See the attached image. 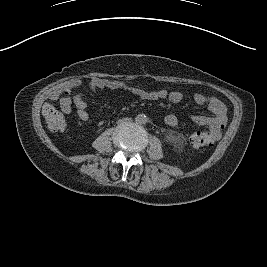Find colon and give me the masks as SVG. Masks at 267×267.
<instances>
[{"mask_svg": "<svg viewBox=\"0 0 267 267\" xmlns=\"http://www.w3.org/2000/svg\"><path fill=\"white\" fill-rule=\"evenodd\" d=\"M42 114L46 127L51 132L63 131L66 127L65 117L51 104H45ZM191 144L195 149L205 150L210 146V141L202 133H195L191 136Z\"/></svg>", "mask_w": 267, "mask_h": 267, "instance_id": "1", "label": "colon"}]
</instances>
